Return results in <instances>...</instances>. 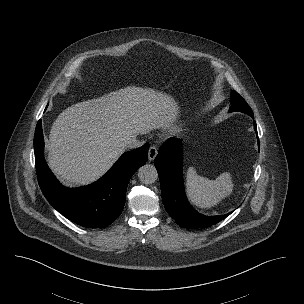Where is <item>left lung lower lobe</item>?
Masks as SVG:
<instances>
[{
	"instance_id": "0a47b994",
	"label": "left lung lower lobe",
	"mask_w": 304,
	"mask_h": 304,
	"mask_svg": "<svg viewBox=\"0 0 304 304\" xmlns=\"http://www.w3.org/2000/svg\"><path fill=\"white\" fill-rule=\"evenodd\" d=\"M254 129L257 132L255 121ZM154 164L160 179L165 209L180 227L207 228L231 214L230 212L225 215L205 216L199 214L189 204L183 185L181 140L174 138L162 145Z\"/></svg>"
}]
</instances>
